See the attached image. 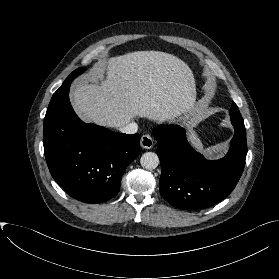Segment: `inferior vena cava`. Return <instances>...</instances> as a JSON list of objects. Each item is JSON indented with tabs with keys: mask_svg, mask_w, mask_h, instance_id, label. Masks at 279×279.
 <instances>
[{
	"mask_svg": "<svg viewBox=\"0 0 279 279\" xmlns=\"http://www.w3.org/2000/svg\"><path fill=\"white\" fill-rule=\"evenodd\" d=\"M137 130H138V125L135 122L127 123L126 125L120 128V131L126 134H134L137 132Z\"/></svg>",
	"mask_w": 279,
	"mask_h": 279,
	"instance_id": "1",
	"label": "inferior vena cava"
}]
</instances>
